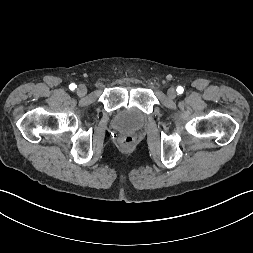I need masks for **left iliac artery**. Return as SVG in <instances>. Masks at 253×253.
<instances>
[{"mask_svg": "<svg viewBox=\"0 0 253 253\" xmlns=\"http://www.w3.org/2000/svg\"><path fill=\"white\" fill-rule=\"evenodd\" d=\"M176 91H177L178 94H182L183 91H184V89H183V87L178 86L177 89H176Z\"/></svg>", "mask_w": 253, "mask_h": 253, "instance_id": "left-iliac-artery-1", "label": "left iliac artery"}]
</instances>
